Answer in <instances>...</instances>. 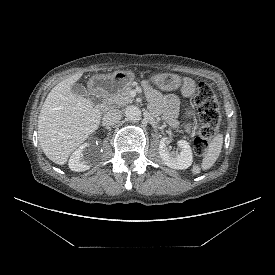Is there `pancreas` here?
<instances>
[{
	"label": "pancreas",
	"instance_id": "pancreas-1",
	"mask_svg": "<svg viewBox=\"0 0 275 275\" xmlns=\"http://www.w3.org/2000/svg\"><path fill=\"white\" fill-rule=\"evenodd\" d=\"M130 91H131L130 86H125L121 88L116 93L109 95V97L107 98L108 103L116 106H124L127 103L132 102V98L129 96ZM178 131L182 133V130H178Z\"/></svg>",
	"mask_w": 275,
	"mask_h": 275
}]
</instances>
